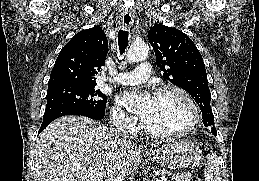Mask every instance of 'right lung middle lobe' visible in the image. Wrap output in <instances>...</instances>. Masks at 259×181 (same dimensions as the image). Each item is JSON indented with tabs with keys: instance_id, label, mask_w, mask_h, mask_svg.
<instances>
[{
	"instance_id": "dd1d6c3e",
	"label": "right lung middle lobe",
	"mask_w": 259,
	"mask_h": 181,
	"mask_svg": "<svg viewBox=\"0 0 259 181\" xmlns=\"http://www.w3.org/2000/svg\"><path fill=\"white\" fill-rule=\"evenodd\" d=\"M96 84L62 83L48 86L43 118L66 108H83L104 112L107 97L95 89Z\"/></svg>"
}]
</instances>
